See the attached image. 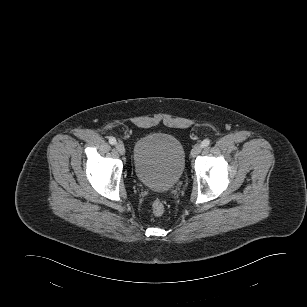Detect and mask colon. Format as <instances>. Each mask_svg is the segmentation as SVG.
I'll use <instances>...</instances> for the list:
<instances>
[{
	"instance_id": "obj_1",
	"label": "colon",
	"mask_w": 307,
	"mask_h": 307,
	"mask_svg": "<svg viewBox=\"0 0 307 307\" xmlns=\"http://www.w3.org/2000/svg\"><path fill=\"white\" fill-rule=\"evenodd\" d=\"M151 209L155 216H161L165 211V206L161 200L156 199L153 201Z\"/></svg>"
}]
</instances>
